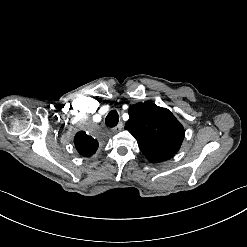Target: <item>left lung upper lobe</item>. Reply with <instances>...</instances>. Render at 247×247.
Returning a JSON list of instances; mask_svg holds the SVG:
<instances>
[{
	"label": "left lung upper lobe",
	"instance_id": "obj_1",
	"mask_svg": "<svg viewBox=\"0 0 247 247\" xmlns=\"http://www.w3.org/2000/svg\"><path fill=\"white\" fill-rule=\"evenodd\" d=\"M128 113L125 129L137 139L150 162H162L177 153L184 139V128L168 109L145 102L132 105Z\"/></svg>",
	"mask_w": 247,
	"mask_h": 247
}]
</instances>
